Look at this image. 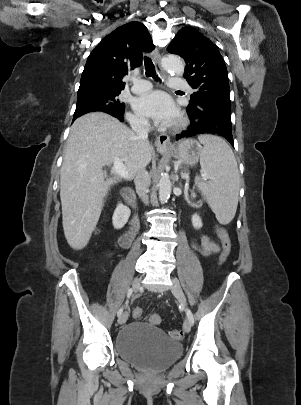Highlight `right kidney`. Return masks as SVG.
Segmentation results:
<instances>
[{
  "label": "right kidney",
  "mask_w": 301,
  "mask_h": 405,
  "mask_svg": "<svg viewBox=\"0 0 301 405\" xmlns=\"http://www.w3.org/2000/svg\"><path fill=\"white\" fill-rule=\"evenodd\" d=\"M131 211L130 209L119 203L113 213L112 223L115 229H121L127 223L130 217Z\"/></svg>",
  "instance_id": "ca27d5eb"
}]
</instances>
